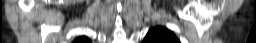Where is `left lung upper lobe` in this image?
I'll return each mask as SVG.
<instances>
[{"instance_id": "5c2ea615", "label": "left lung upper lobe", "mask_w": 256, "mask_h": 43, "mask_svg": "<svg viewBox=\"0 0 256 43\" xmlns=\"http://www.w3.org/2000/svg\"><path fill=\"white\" fill-rule=\"evenodd\" d=\"M142 43H180L173 32L164 27L151 28Z\"/></svg>"}]
</instances>
